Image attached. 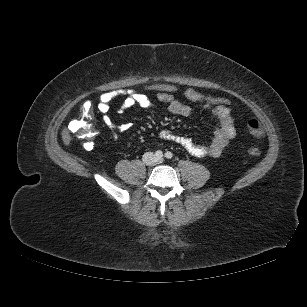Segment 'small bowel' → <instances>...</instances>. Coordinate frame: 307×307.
Returning <instances> with one entry per match:
<instances>
[{"label":"small bowel","mask_w":307,"mask_h":307,"mask_svg":"<svg viewBox=\"0 0 307 307\" xmlns=\"http://www.w3.org/2000/svg\"><path fill=\"white\" fill-rule=\"evenodd\" d=\"M185 97L194 103V106H189L183 102L178 101L174 94L170 91H158L156 98L167 105V110L180 116H189L195 109L208 110L213 117L218 121V127L213 135L211 141L207 144L196 143L189 137L177 135L171 130L163 129L159 133V137L163 140L174 142L182 146L187 152L196 157H218L235 137L236 129L234 120L228 106H212L201 102L202 95L194 89H186L184 91ZM116 95L113 93H105L101 95L97 105L98 111L101 114L103 123L111 129L112 136L115 139L119 138V132L127 131L130 127L128 124L115 126L109 116L111 104ZM140 106L142 108H153V103L150 98L141 91H130L124 94V99L118 107V112L123 113L125 110Z\"/></svg>","instance_id":"obj_1"}]
</instances>
